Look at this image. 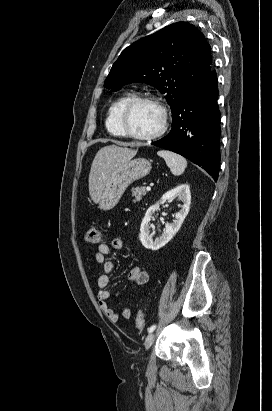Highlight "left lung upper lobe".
<instances>
[{"instance_id": "5c2ea615", "label": "left lung upper lobe", "mask_w": 272, "mask_h": 411, "mask_svg": "<svg viewBox=\"0 0 272 411\" xmlns=\"http://www.w3.org/2000/svg\"><path fill=\"white\" fill-rule=\"evenodd\" d=\"M211 47L187 22L173 23L125 48L104 86L113 91L138 82L164 93L175 111L181 100L212 71Z\"/></svg>"}]
</instances>
